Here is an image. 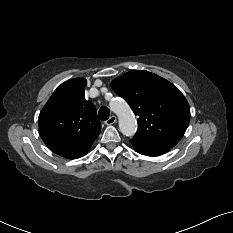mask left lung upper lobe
Masks as SVG:
<instances>
[{
	"label": "left lung upper lobe",
	"instance_id": "5c2ea615",
	"mask_svg": "<svg viewBox=\"0 0 233 233\" xmlns=\"http://www.w3.org/2000/svg\"><path fill=\"white\" fill-rule=\"evenodd\" d=\"M111 87L139 116L131 141L171 148L183 137L190 108L172 83L151 72L133 70L113 80Z\"/></svg>",
	"mask_w": 233,
	"mask_h": 233
}]
</instances>
